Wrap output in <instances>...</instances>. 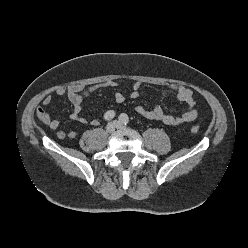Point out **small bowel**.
<instances>
[{
	"label": "small bowel",
	"mask_w": 248,
	"mask_h": 248,
	"mask_svg": "<svg viewBox=\"0 0 248 248\" xmlns=\"http://www.w3.org/2000/svg\"><path fill=\"white\" fill-rule=\"evenodd\" d=\"M117 83L113 80L107 81L103 84L98 85H85V84H75L67 87H59L55 91L57 97L66 96L73 106V112L70 114V119L81 124L87 123L85 117L81 115L83 101L88 98L94 91L100 87H114ZM141 82H135L129 92L130 98H137L140 94ZM166 88L175 93L177 99L187 105V109L181 115H169L166 114L160 105L156 104L152 109H146L142 106H136L135 111L139 115L147 118L149 120L161 121L166 125L178 126L184 123L191 122L195 120L198 116V110L196 107V100L193 95L192 89L184 85L169 84ZM114 99L116 103H122L125 99L124 95L120 92L115 93ZM52 102V95H47L43 101L42 105L36 108V115L38 120L51 130H56L59 128L60 121L53 118L50 113L45 109ZM92 126H97L99 121L97 119H92L90 121ZM77 133L75 131L64 132L62 130L57 132V137L59 139H74Z\"/></svg>",
	"instance_id": "small-bowel-1"
}]
</instances>
